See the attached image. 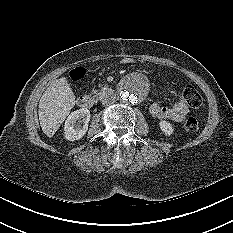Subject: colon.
I'll use <instances>...</instances> for the list:
<instances>
[{
	"label": "colon",
	"mask_w": 233,
	"mask_h": 233,
	"mask_svg": "<svg viewBox=\"0 0 233 233\" xmlns=\"http://www.w3.org/2000/svg\"><path fill=\"white\" fill-rule=\"evenodd\" d=\"M82 76H83L82 71H76L73 75V78L77 80L80 79ZM183 97L185 101L188 103V105L194 109H197L202 105L203 100L200 93L194 86L190 84H187L183 87ZM198 128H199V121L195 117L188 118L184 123V129L188 132H194L198 130Z\"/></svg>",
	"instance_id": "colon-1"
}]
</instances>
